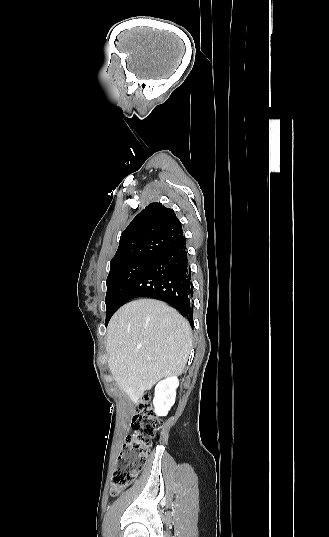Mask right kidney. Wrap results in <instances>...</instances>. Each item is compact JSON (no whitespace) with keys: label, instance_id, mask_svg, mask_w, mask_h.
Returning <instances> with one entry per match:
<instances>
[{"label":"right kidney","instance_id":"obj_1","mask_svg":"<svg viewBox=\"0 0 329 537\" xmlns=\"http://www.w3.org/2000/svg\"><path fill=\"white\" fill-rule=\"evenodd\" d=\"M179 385L176 376L168 377L155 387V396L153 399L154 412L157 416H166L175 403L176 389Z\"/></svg>","mask_w":329,"mask_h":537}]
</instances>
